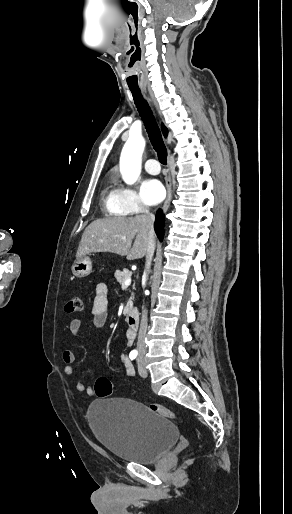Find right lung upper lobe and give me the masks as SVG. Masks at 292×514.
<instances>
[{
    "mask_svg": "<svg viewBox=\"0 0 292 514\" xmlns=\"http://www.w3.org/2000/svg\"><path fill=\"white\" fill-rule=\"evenodd\" d=\"M162 132H163L164 136L166 137L168 134V129L163 124H162Z\"/></svg>",
    "mask_w": 292,
    "mask_h": 514,
    "instance_id": "cb5924a9",
    "label": "right lung upper lobe"
}]
</instances>
